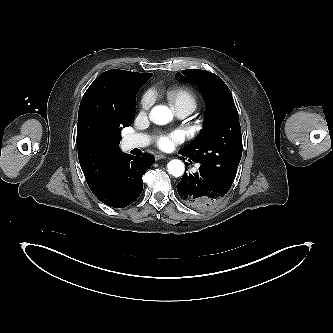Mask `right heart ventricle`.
I'll use <instances>...</instances> for the list:
<instances>
[{
	"instance_id": "obj_1",
	"label": "right heart ventricle",
	"mask_w": 333,
	"mask_h": 333,
	"mask_svg": "<svg viewBox=\"0 0 333 333\" xmlns=\"http://www.w3.org/2000/svg\"><path fill=\"white\" fill-rule=\"evenodd\" d=\"M167 96L175 110L190 109L194 111L198 105L196 94L188 87L173 88Z\"/></svg>"
}]
</instances>
